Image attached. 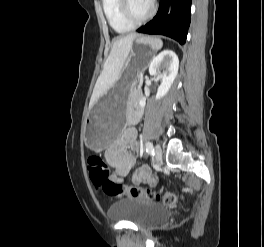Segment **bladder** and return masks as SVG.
<instances>
[{
    "label": "bladder",
    "mask_w": 264,
    "mask_h": 247,
    "mask_svg": "<svg viewBox=\"0 0 264 247\" xmlns=\"http://www.w3.org/2000/svg\"><path fill=\"white\" fill-rule=\"evenodd\" d=\"M168 215V211L158 203L136 198H119L108 211L111 220L132 222L141 227L161 223Z\"/></svg>",
    "instance_id": "bladder-1"
}]
</instances>
